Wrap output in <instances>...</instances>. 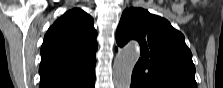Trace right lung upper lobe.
Instances as JSON below:
<instances>
[{"label": "right lung upper lobe", "instance_id": "1", "mask_svg": "<svg viewBox=\"0 0 223 88\" xmlns=\"http://www.w3.org/2000/svg\"><path fill=\"white\" fill-rule=\"evenodd\" d=\"M96 30L81 9L67 11L48 29L41 47L40 88H86L95 80Z\"/></svg>", "mask_w": 223, "mask_h": 88}]
</instances>
